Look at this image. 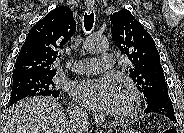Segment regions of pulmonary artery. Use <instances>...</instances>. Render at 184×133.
<instances>
[{"label":"pulmonary artery","instance_id":"e3ab8cb5","mask_svg":"<svg viewBox=\"0 0 184 133\" xmlns=\"http://www.w3.org/2000/svg\"><path fill=\"white\" fill-rule=\"evenodd\" d=\"M115 57L112 54H102L98 59H82L77 61L72 70L77 73L97 74L113 67Z\"/></svg>","mask_w":184,"mask_h":133}]
</instances>
